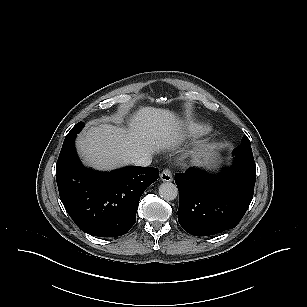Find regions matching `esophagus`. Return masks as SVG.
Here are the masks:
<instances>
[{
    "instance_id": "1",
    "label": "esophagus",
    "mask_w": 307,
    "mask_h": 307,
    "mask_svg": "<svg viewBox=\"0 0 307 307\" xmlns=\"http://www.w3.org/2000/svg\"><path fill=\"white\" fill-rule=\"evenodd\" d=\"M160 178L164 182H171L173 180L172 173L169 169H164L160 174Z\"/></svg>"
}]
</instances>
